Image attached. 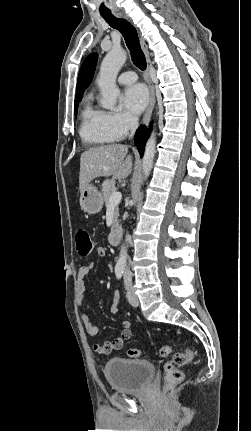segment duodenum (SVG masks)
Here are the masks:
<instances>
[{"label":"duodenum","mask_w":251,"mask_h":431,"mask_svg":"<svg viewBox=\"0 0 251 431\" xmlns=\"http://www.w3.org/2000/svg\"><path fill=\"white\" fill-rule=\"evenodd\" d=\"M121 235H122V229L120 226H115L110 235H109V242L112 245H117L120 242L121 239Z\"/></svg>","instance_id":"obj_1"}]
</instances>
